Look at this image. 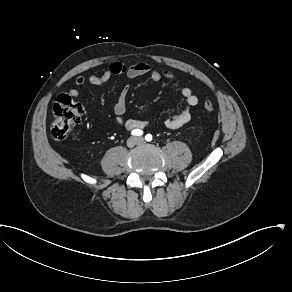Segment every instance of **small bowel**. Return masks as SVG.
Returning <instances> with one entry per match:
<instances>
[{
    "mask_svg": "<svg viewBox=\"0 0 292 292\" xmlns=\"http://www.w3.org/2000/svg\"><path fill=\"white\" fill-rule=\"evenodd\" d=\"M113 75H124L128 78H136L143 75H148L153 81H159L161 79H167L172 82H177V77L168 70L154 69L148 63H136L132 65H126L122 62H113L107 70L99 75H90L88 78L79 76L75 80V84L79 87L86 85H102L106 83ZM130 87L128 84H124L119 92L118 99L113 107L116 115L115 123L119 126H124L127 129L143 128L147 125V122L138 120L124 121L123 115L126 112V102L129 95ZM181 95L186 101V106L182 108L176 114L168 117L165 120V125L170 129H177L187 125L192 118V109L198 104V97L194 94L190 87L183 86L180 90ZM71 96H77L76 89L69 91Z\"/></svg>",
    "mask_w": 292,
    "mask_h": 292,
    "instance_id": "c3829d8e",
    "label": "small bowel"
}]
</instances>
